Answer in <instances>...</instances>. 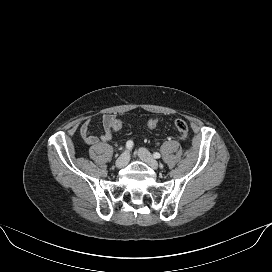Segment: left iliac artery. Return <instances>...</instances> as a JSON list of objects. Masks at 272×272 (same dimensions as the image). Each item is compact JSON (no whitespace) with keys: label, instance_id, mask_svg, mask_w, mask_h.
<instances>
[{"label":"left iliac artery","instance_id":"1","mask_svg":"<svg viewBox=\"0 0 272 272\" xmlns=\"http://www.w3.org/2000/svg\"><path fill=\"white\" fill-rule=\"evenodd\" d=\"M160 157H161L160 153H158V152L154 153V158L159 159Z\"/></svg>","mask_w":272,"mask_h":272}]
</instances>
